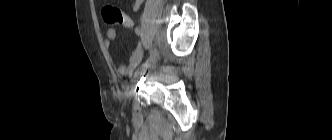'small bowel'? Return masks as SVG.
<instances>
[{"instance_id":"1","label":"small bowel","mask_w":332,"mask_h":140,"mask_svg":"<svg viewBox=\"0 0 332 140\" xmlns=\"http://www.w3.org/2000/svg\"><path fill=\"white\" fill-rule=\"evenodd\" d=\"M144 0H135L133 4V11H138ZM117 33L113 28H108L106 31V39L104 40V45L106 48L111 46V43L116 39ZM143 59V51L141 47H137L129 58L127 64H122L118 67V73L122 76H130L136 69V67L141 63Z\"/></svg>"}]
</instances>
